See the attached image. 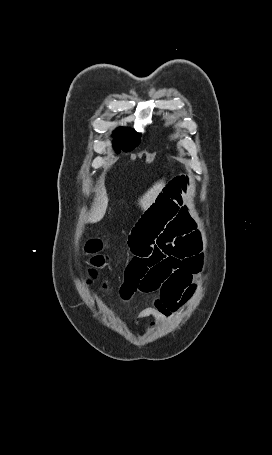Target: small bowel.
<instances>
[{"instance_id": "c3829d8e", "label": "small bowel", "mask_w": 272, "mask_h": 455, "mask_svg": "<svg viewBox=\"0 0 272 455\" xmlns=\"http://www.w3.org/2000/svg\"><path fill=\"white\" fill-rule=\"evenodd\" d=\"M188 189V177L173 178L129 236L133 257L126 267L120 296L124 301L136 292L156 296L152 305L138 313L137 320L167 316L192 292L193 276L201 268V244L185 206Z\"/></svg>"}]
</instances>
